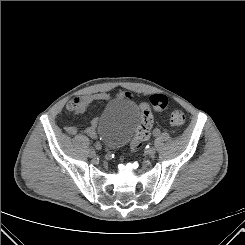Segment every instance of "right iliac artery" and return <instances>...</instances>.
Returning <instances> with one entry per match:
<instances>
[{"mask_svg":"<svg viewBox=\"0 0 245 245\" xmlns=\"http://www.w3.org/2000/svg\"><path fill=\"white\" fill-rule=\"evenodd\" d=\"M101 147H102L101 144L98 143V142L94 144V149H95V150H100Z\"/></svg>","mask_w":245,"mask_h":245,"instance_id":"82829eb1","label":"right iliac artery"}]
</instances>
